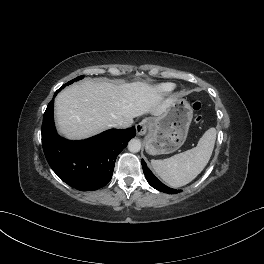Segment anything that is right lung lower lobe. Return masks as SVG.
<instances>
[{
	"instance_id": "1",
	"label": "right lung lower lobe",
	"mask_w": 264,
	"mask_h": 264,
	"mask_svg": "<svg viewBox=\"0 0 264 264\" xmlns=\"http://www.w3.org/2000/svg\"><path fill=\"white\" fill-rule=\"evenodd\" d=\"M53 107L54 100L48 104L42 123V145L50 167L77 190L91 191L105 186L112 178L117 155L135 136V127L110 129L83 141H69L56 133Z\"/></svg>"
}]
</instances>
